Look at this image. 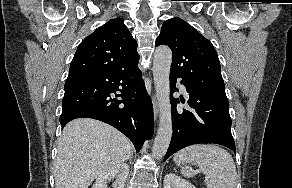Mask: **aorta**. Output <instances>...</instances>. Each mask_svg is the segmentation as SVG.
Segmentation results:
<instances>
[{
	"label": "aorta",
	"mask_w": 292,
	"mask_h": 188,
	"mask_svg": "<svg viewBox=\"0 0 292 188\" xmlns=\"http://www.w3.org/2000/svg\"><path fill=\"white\" fill-rule=\"evenodd\" d=\"M171 62L172 52L170 48L165 45L157 47L153 57V79L160 122L152 149L155 158H162L166 154L173 133L169 87Z\"/></svg>",
	"instance_id": "obj_1"
}]
</instances>
